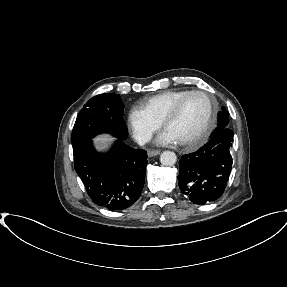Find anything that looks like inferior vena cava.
<instances>
[{"instance_id": "1", "label": "inferior vena cava", "mask_w": 287, "mask_h": 287, "mask_svg": "<svg viewBox=\"0 0 287 287\" xmlns=\"http://www.w3.org/2000/svg\"><path fill=\"white\" fill-rule=\"evenodd\" d=\"M150 139H151L150 136L144 135V136H141V137L138 138V143H139L140 145H144L145 143L149 142Z\"/></svg>"}]
</instances>
